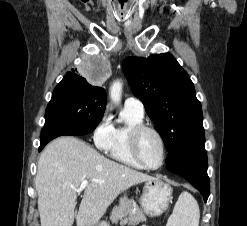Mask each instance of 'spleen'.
I'll use <instances>...</instances> for the list:
<instances>
[{
    "label": "spleen",
    "instance_id": "obj_1",
    "mask_svg": "<svg viewBox=\"0 0 247 226\" xmlns=\"http://www.w3.org/2000/svg\"><path fill=\"white\" fill-rule=\"evenodd\" d=\"M200 210L195 198L188 192L180 194L167 226H198Z\"/></svg>",
    "mask_w": 247,
    "mask_h": 226
}]
</instances>
